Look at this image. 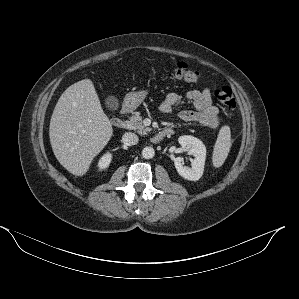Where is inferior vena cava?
<instances>
[{
	"mask_svg": "<svg viewBox=\"0 0 299 299\" xmlns=\"http://www.w3.org/2000/svg\"><path fill=\"white\" fill-rule=\"evenodd\" d=\"M122 141L124 144L128 146L136 145L139 141V138L136 134L131 133V132H126L123 137Z\"/></svg>",
	"mask_w": 299,
	"mask_h": 299,
	"instance_id": "obj_1",
	"label": "inferior vena cava"
}]
</instances>
